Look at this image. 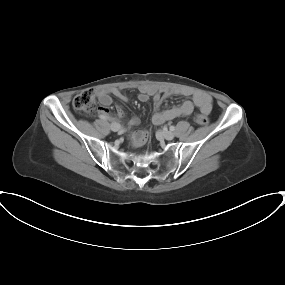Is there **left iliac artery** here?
<instances>
[{
	"label": "left iliac artery",
	"instance_id": "44dca946",
	"mask_svg": "<svg viewBox=\"0 0 285 285\" xmlns=\"http://www.w3.org/2000/svg\"><path fill=\"white\" fill-rule=\"evenodd\" d=\"M170 130L174 131L175 130V126H170Z\"/></svg>",
	"mask_w": 285,
	"mask_h": 285
}]
</instances>
